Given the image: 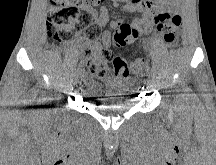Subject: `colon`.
I'll use <instances>...</instances> for the list:
<instances>
[{
	"label": "colon",
	"instance_id": "5ec220e1",
	"mask_svg": "<svg viewBox=\"0 0 216 165\" xmlns=\"http://www.w3.org/2000/svg\"><path fill=\"white\" fill-rule=\"evenodd\" d=\"M103 2L104 0H50L48 24L51 37L57 42H66L71 38L73 31L81 27L86 41H97L101 35V26L94 21L91 10ZM156 23L164 42L172 46L177 39L182 17L179 14L166 12L156 18ZM136 35L137 32L131 25L119 24L113 37L117 51L104 49L96 52L94 49L86 48L81 54L84 67L97 76H107L110 69L115 73L124 74L145 71L148 66L147 56L128 64L118 51Z\"/></svg>",
	"mask_w": 216,
	"mask_h": 165
}]
</instances>
